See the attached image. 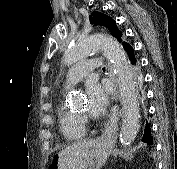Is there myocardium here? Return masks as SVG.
I'll list each match as a JSON object with an SVG mask.
<instances>
[{"instance_id":"myocardium-1","label":"myocardium","mask_w":177,"mask_h":169,"mask_svg":"<svg viewBox=\"0 0 177 169\" xmlns=\"http://www.w3.org/2000/svg\"><path fill=\"white\" fill-rule=\"evenodd\" d=\"M78 115H79L83 120H87V119H88V117H87L86 114L79 113Z\"/></svg>"}]
</instances>
